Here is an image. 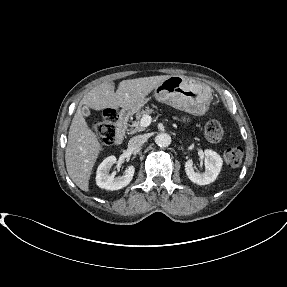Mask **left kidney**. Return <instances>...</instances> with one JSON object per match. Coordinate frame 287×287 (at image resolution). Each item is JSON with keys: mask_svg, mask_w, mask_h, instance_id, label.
Returning a JSON list of instances; mask_svg holds the SVG:
<instances>
[{"mask_svg": "<svg viewBox=\"0 0 287 287\" xmlns=\"http://www.w3.org/2000/svg\"><path fill=\"white\" fill-rule=\"evenodd\" d=\"M205 172H195L193 169V161L189 159L185 163V172L188 178L198 184L207 185L214 182L222 168L223 160L218 153L213 150H205Z\"/></svg>", "mask_w": 287, "mask_h": 287, "instance_id": "obj_1", "label": "left kidney"}]
</instances>
